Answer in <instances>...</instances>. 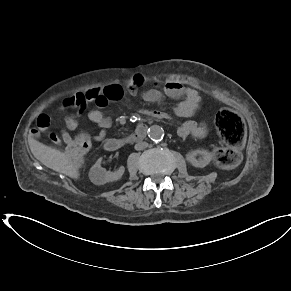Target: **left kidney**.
<instances>
[{
	"label": "left kidney",
	"instance_id": "left-kidney-1",
	"mask_svg": "<svg viewBox=\"0 0 291 291\" xmlns=\"http://www.w3.org/2000/svg\"><path fill=\"white\" fill-rule=\"evenodd\" d=\"M197 155L201 156V158L198 160L196 159ZM211 159H212L211 153L208 152L207 150H201V149L190 151L186 155V160L192 166L197 167V168H203L207 166L210 163Z\"/></svg>",
	"mask_w": 291,
	"mask_h": 291
}]
</instances>
